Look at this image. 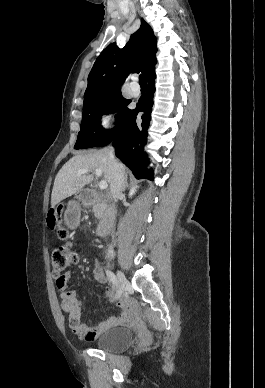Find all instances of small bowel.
Instances as JSON below:
<instances>
[{
    "mask_svg": "<svg viewBox=\"0 0 265 388\" xmlns=\"http://www.w3.org/2000/svg\"><path fill=\"white\" fill-rule=\"evenodd\" d=\"M93 277L95 281L99 284H105L107 282V277L105 275L104 269L99 263L98 260H95V266L93 269ZM70 278V272L64 273V286L61 291V306L63 311L67 314L68 325L72 332L81 340L85 341H94L98 338L104 331L107 329L123 324L131 323V314H130V302L127 298H117L118 307L121 310V313L118 316H112L106 321H103L95 326L89 327L86 324L81 322V309L82 302L77 299V294L73 290L67 289V282ZM113 295V290L108 288L105 297L110 298ZM59 327L64 329V320H59Z\"/></svg>",
    "mask_w": 265,
    "mask_h": 388,
    "instance_id": "1",
    "label": "small bowel"
}]
</instances>
